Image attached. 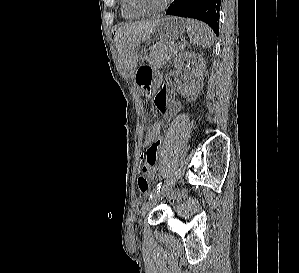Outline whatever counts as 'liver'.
<instances>
[{"instance_id":"1","label":"liver","mask_w":299,"mask_h":273,"mask_svg":"<svg viewBox=\"0 0 299 273\" xmlns=\"http://www.w3.org/2000/svg\"><path fill=\"white\" fill-rule=\"evenodd\" d=\"M160 19L125 23L118 27L114 42L124 66L133 75L138 66L142 43L154 33Z\"/></svg>"}]
</instances>
